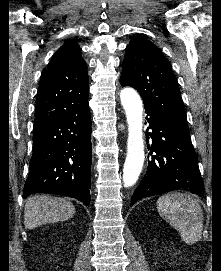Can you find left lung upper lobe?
Returning <instances> with one entry per match:
<instances>
[{
	"instance_id": "1",
	"label": "left lung upper lobe",
	"mask_w": 221,
	"mask_h": 271,
	"mask_svg": "<svg viewBox=\"0 0 221 271\" xmlns=\"http://www.w3.org/2000/svg\"><path fill=\"white\" fill-rule=\"evenodd\" d=\"M120 83L138 90L144 107L188 129L186 111L177 80L161 50L143 37L126 47Z\"/></svg>"
}]
</instances>
